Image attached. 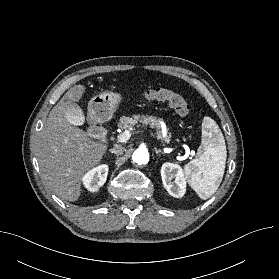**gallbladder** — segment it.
<instances>
[{
	"label": "gallbladder",
	"instance_id": "obj_1",
	"mask_svg": "<svg viewBox=\"0 0 279 279\" xmlns=\"http://www.w3.org/2000/svg\"><path fill=\"white\" fill-rule=\"evenodd\" d=\"M66 111L68 112V119L76 124V125H82L84 123V116L81 112V109L77 104H75L72 101L66 102Z\"/></svg>",
	"mask_w": 279,
	"mask_h": 279
}]
</instances>
